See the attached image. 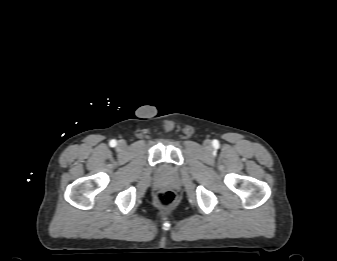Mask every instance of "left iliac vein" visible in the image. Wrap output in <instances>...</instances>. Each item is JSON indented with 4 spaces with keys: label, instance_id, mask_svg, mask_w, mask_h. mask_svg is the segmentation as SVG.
<instances>
[{
    "label": "left iliac vein",
    "instance_id": "4c4485c4",
    "mask_svg": "<svg viewBox=\"0 0 337 261\" xmlns=\"http://www.w3.org/2000/svg\"><path fill=\"white\" fill-rule=\"evenodd\" d=\"M205 145H206L207 147H209V146H210V142H209V141H206V142H205Z\"/></svg>",
    "mask_w": 337,
    "mask_h": 261
}]
</instances>
